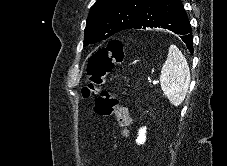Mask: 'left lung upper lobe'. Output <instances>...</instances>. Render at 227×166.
Instances as JSON below:
<instances>
[{"mask_svg": "<svg viewBox=\"0 0 227 166\" xmlns=\"http://www.w3.org/2000/svg\"><path fill=\"white\" fill-rule=\"evenodd\" d=\"M147 0H97L91 7L84 46L106 40L122 30L131 29Z\"/></svg>", "mask_w": 227, "mask_h": 166, "instance_id": "left-lung-upper-lobe-1", "label": "left lung upper lobe"}]
</instances>
